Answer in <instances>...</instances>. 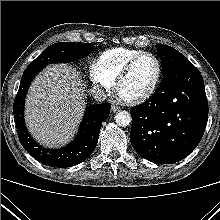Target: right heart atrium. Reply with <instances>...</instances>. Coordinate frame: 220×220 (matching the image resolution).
Listing matches in <instances>:
<instances>
[{"label": "right heart atrium", "mask_w": 220, "mask_h": 220, "mask_svg": "<svg viewBox=\"0 0 220 220\" xmlns=\"http://www.w3.org/2000/svg\"><path fill=\"white\" fill-rule=\"evenodd\" d=\"M90 78L93 84L102 90L103 92H109L112 87V82H110L100 71L97 62H93L90 65Z\"/></svg>", "instance_id": "right-heart-atrium-1"}]
</instances>
